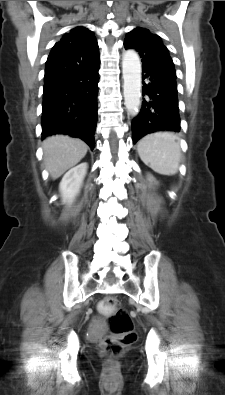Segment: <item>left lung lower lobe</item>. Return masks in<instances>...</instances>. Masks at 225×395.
Here are the masks:
<instances>
[{
    "instance_id": "1",
    "label": "left lung lower lobe",
    "mask_w": 225,
    "mask_h": 395,
    "mask_svg": "<svg viewBox=\"0 0 225 395\" xmlns=\"http://www.w3.org/2000/svg\"><path fill=\"white\" fill-rule=\"evenodd\" d=\"M142 109L132 121L133 142L163 130L180 131L176 72L142 67Z\"/></svg>"
}]
</instances>
